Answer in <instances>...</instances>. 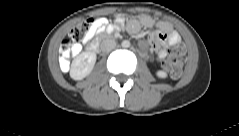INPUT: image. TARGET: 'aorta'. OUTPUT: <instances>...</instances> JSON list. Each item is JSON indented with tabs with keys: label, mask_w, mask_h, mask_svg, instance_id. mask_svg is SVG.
I'll return each instance as SVG.
<instances>
[{
	"label": "aorta",
	"mask_w": 239,
	"mask_h": 136,
	"mask_svg": "<svg viewBox=\"0 0 239 136\" xmlns=\"http://www.w3.org/2000/svg\"><path fill=\"white\" fill-rule=\"evenodd\" d=\"M121 45L123 48H128L130 47V42L128 40H124L122 41Z\"/></svg>",
	"instance_id": "obj_1"
}]
</instances>
